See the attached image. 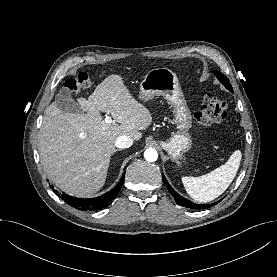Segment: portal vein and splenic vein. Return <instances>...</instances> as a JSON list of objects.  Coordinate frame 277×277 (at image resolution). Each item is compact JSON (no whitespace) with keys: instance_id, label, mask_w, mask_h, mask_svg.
<instances>
[{"instance_id":"1","label":"portal vein and splenic vein","mask_w":277,"mask_h":277,"mask_svg":"<svg viewBox=\"0 0 277 277\" xmlns=\"http://www.w3.org/2000/svg\"><path fill=\"white\" fill-rule=\"evenodd\" d=\"M105 122H106V123H111V122H112L111 116L107 115V116L105 117Z\"/></svg>"}]
</instances>
